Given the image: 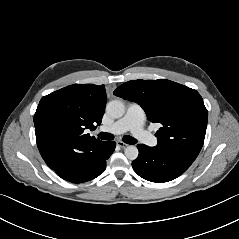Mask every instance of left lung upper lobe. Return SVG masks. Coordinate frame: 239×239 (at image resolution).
<instances>
[{"label":"left lung upper lobe","mask_w":239,"mask_h":239,"mask_svg":"<svg viewBox=\"0 0 239 239\" xmlns=\"http://www.w3.org/2000/svg\"><path fill=\"white\" fill-rule=\"evenodd\" d=\"M114 94L138 103L149 121L161 123L156 147L194 161L205 138L208 112L200 94L176 82L132 80L120 85Z\"/></svg>","instance_id":"obj_1"}]
</instances>
